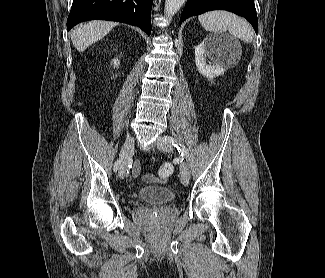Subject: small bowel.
I'll return each mask as SVG.
<instances>
[{
  "label": "small bowel",
  "instance_id": "small-bowel-1",
  "mask_svg": "<svg viewBox=\"0 0 325 278\" xmlns=\"http://www.w3.org/2000/svg\"><path fill=\"white\" fill-rule=\"evenodd\" d=\"M140 173V165H139V162L136 161L133 165V175L134 176H138Z\"/></svg>",
  "mask_w": 325,
  "mask_h": 278
}]
</instances>
